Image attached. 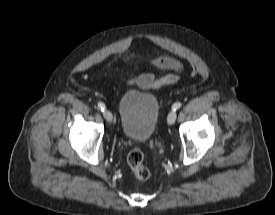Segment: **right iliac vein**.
Here are the masks:
<instances>
[{
    "instance_id": "63e3f726",
    "label": "right iliac vein",
    "mask_w": 275,
    "mask_h": 215,
    "mask_svg": "<svg viewBox=\"0 0 275 215\" xmlns=\"http://www.w3.org/2000/svg\"><path fill=\"white\" fill-rule=\"evenodd\" d=\"M103 116L106 119L107 122H112L113 120V115L109 110H104L103 111Z\"/></svg>"
}]
</instances>
